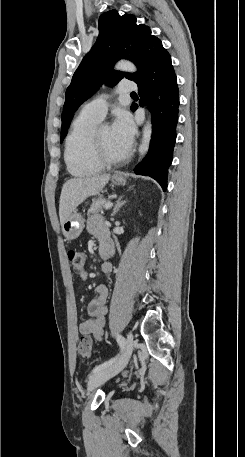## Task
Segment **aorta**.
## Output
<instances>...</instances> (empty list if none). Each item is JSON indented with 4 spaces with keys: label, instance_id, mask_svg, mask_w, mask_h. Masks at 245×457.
Listing matches in <instances>:
<instances>
[{
    "label": "aorta",
    "instance_id": "762f6f07",
    "mask_svg": "<svg viewBox=\"0 0 245 457\" xmlns=\"http://www.w3.org/2000/svg\"><path fill=\"white\" fill-rule=\"evenodd\" d=\"M115 68L118 70H121V71H126V72H136L137 71V68L133 63H131L129 61H125V60L118 62ZM151 136H152V124L150 121H148L143 128L142 141L139 146L140 156H144L147 153V151L149 149V145H150Z\"/></svg>",
    "mask_w": 245,
    "mask_h": 457
}]
</instances>
